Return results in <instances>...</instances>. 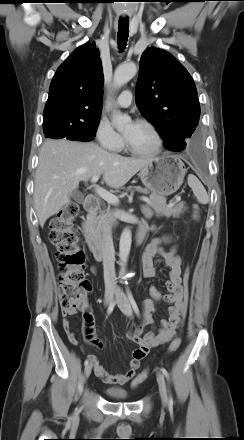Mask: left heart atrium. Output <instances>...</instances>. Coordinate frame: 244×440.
<instances>
[{
  "label": "left heart atrium",
  "instance_id": "left-heart-atrium-1",
  "mask_svg": "<svg viewBox=\"0 0 244 440\" xmlns=\"http://www.w3.org/2000/svg\"><path fill=\"white\" fill-rule=\"evenodd\" d=\"M137 123H132L131 127L134 128Z\"/></svg>",
  "mask_w": 244,
  "mask_h": 440
}]
</instances>
